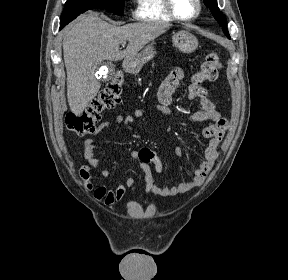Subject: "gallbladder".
I'll use <instances>...</instances> for the list:
<instances>
[{
    "mask_svg": "<svg viewBox=\"0 0 288 280\" xmlns=\"http://www.w3.org/2000/svg\"><path fill=\"white\" fill-rule=\"evenodd\" d=\"M106 66H107L110 70H113V69H114V66H113V64H111V63H107ZM110 77H111V75H108V78H110Z\"/></svg>",
    "mask_w": 288,
    "mask_h": 280,
    "instance_id": "bac80fb5",
    "label": "gallbladder"
}]
</instances>
